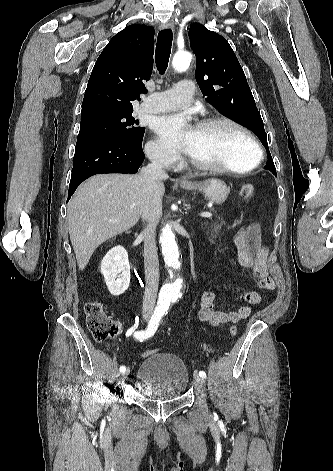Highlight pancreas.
Segmentation results:
<instances>
[{
    "instance_id": "cf45deb5",
    "label": "pancreas",
    "mask_w": 333,
    "mask_h": 471,
    "mask_svg": "<svg viewBox=\"0 0 333 471\" xmlns=\"http://www.w3.org/2000/svg\"><path fill=\"white\" fill-rule=\"evenodd\" d=\"M205 228H207L212 234H218L221 232L223 226H226L224 220L218 218V220L211 222V223H204Z\"/></svg>"
}]
</instances>
